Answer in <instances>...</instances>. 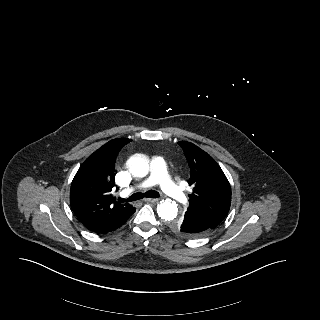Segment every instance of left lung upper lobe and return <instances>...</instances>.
Wrapping results in <instances>:
<instances>
[{"label":"left lung upper lobe","mask_w":320,"mask_h":320,"mask_svg":"<svg viewBox=\"0 0 320 320\" xmlns=\"http://www.w3.org/2000/svg\"><path fill=\"white\" fill-rule=\"evenodd\" d=\"M190 167L189 185L193 191L189 195V207L185 213L200 217L213 228L217 227L229 212L231 187L217 162L198 146L180 141ZM173 223L178 229L180 220Z\"/></svg>","instance_id":"1"}]
</instances>
